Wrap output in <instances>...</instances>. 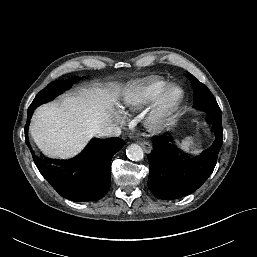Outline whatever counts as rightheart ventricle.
Here are the masks:
<instances>
[{
    "mask_svg": "<svg viewBox=\"0 0 257 257\" xmlns=\"http://www.w3.org/2000/svg\"><path fill=\"white\" fill-rule=\"evenodd\" d=\"M167 82L158 77H148L134 84L123 97V107L127 112H138L153 102Z\"/></svg>",
    "mask_w": 257,
    "mask_h": 257,
    "instance_id": "1",
    "label": "right heart ventricle"
}]
</instances>
